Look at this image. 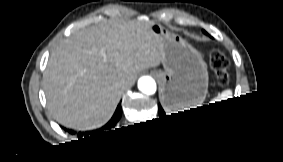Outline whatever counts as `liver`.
I'll return each mask as SVG.
<instances>
[{
	"instance_id": "6515ba94",
	"label": "liver",
	"mask_w": 283,
	"mask_h": 162,
	"mask_svg": "<svg viewBox=\"0 0 283 162\" xmlns=\"http://www.w3.org/2000/svg\"><path fill=\"white\" fill-rule=\"evenodd\" d=\"M151 24L144 17L112 19L60 40L43 74L51 114L77 129L107 122L137 72L162 59Z\"/></svg>"
}]
</instances>
